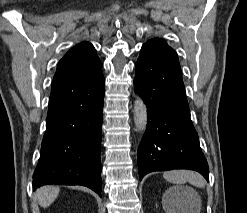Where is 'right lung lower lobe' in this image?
Instances as JSON below:
<instances>
[{"instance_id":"1","label":"right lung lower lobe","mask_w":247,"mask_h":213,"mask_svg":"<svg viewBox=\"0 0 247 213\" xmlns=\"http://www.w3.org/2000/svg\"><path fill=\"white\" fill-rule=\"evenodd\" d=\"M102 68L52 85L33 190L47 184L83 185L101 196Z\"/></svg>"}]
</instances>
